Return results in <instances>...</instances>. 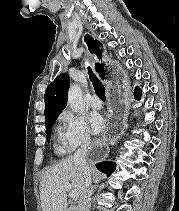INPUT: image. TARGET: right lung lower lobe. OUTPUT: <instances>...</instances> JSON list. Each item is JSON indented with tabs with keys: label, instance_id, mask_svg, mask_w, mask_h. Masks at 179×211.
Segmentation results:
<instances>
[{
	"label": "right lung lower lobe",
	"instance_id": "obj_1",
	"mask_svg": "<svg viewBox=\"0 0 179 211\" xmlns=\"http://www.w3.org/2000/svg\"><path fill=\"white\" fill-rule=\"evenodd\" d=\"M140 96H141V90L138 87H136V89L134 91V97H135V99H139ZM96 167L101 172L110 176L111 173L114 172L116 164L114 162L104 161V162L96 164Z\"/></svg>",
	"mask_w": 179,
	"mask_h": 211
}]
</instances>
